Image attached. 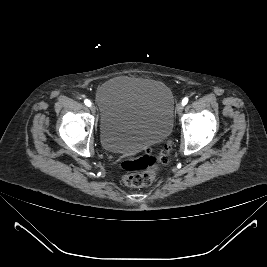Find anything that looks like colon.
<instances>
[{
	"label": "colon",
	"mask_w": 267,
	"mask_h": 267,
	"mask_svg": "<svg viewBox=\"0 0 267 267\" xmlns=\"http://www.w3.org/2000/svg\"><path fill=\"white\" fill-rule=\"evenodd\" d=\"M168 161V148L155 152L146 150L141 156L134 159H125L120 167L124 172L123 183L130 187L150 185L156 178L157 172Z\"/></svg>",
	"instance_id": "obj_1"
}]
</instances>
